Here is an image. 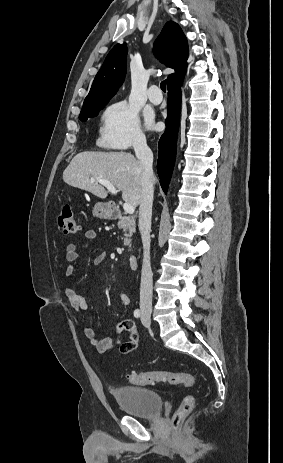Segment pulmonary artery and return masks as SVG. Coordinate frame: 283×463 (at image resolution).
<instances>
[{
    "mask_svg": "<svg viewBox=\"0 0 283 463\" xmlns=\"http://www.w3.org/2000/svg\"><path fill=\"white\" fill-rule=\"evenodd\" d=\"M148 99L149 101L154 104L158 105L162 101V96L160 94V90L157 85H152L148 90Z\"/></svg>",
    "mask_w": 283,
    "mask_h": 463,
    "instance_id": "pulmonary-artery-1",
    "label": "pulmonary artery"
}]
</instances>
